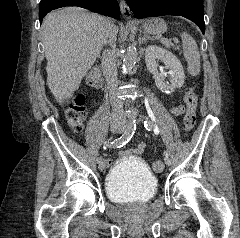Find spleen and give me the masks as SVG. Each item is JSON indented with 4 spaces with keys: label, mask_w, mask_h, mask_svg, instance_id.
I'll use <instances>...</instances> for the list:
<instances>
[{
    "label": "spleen",
    "mask_w": 240,
    "mask_h": 238,
    "mask_svg": "<svg viewBox=\"0 0 240 238\" xmlns=\"http://www.w3.org/2000/svg\"><path fill=\"white\" fill-rule=\"evenodd\" d=\"M183 54L188 63V72L197 76L200 72V54L196 41L187 33L181 34Z\"/></svg>",
    "instance_id": "spleen-1"
}]
</instances>
